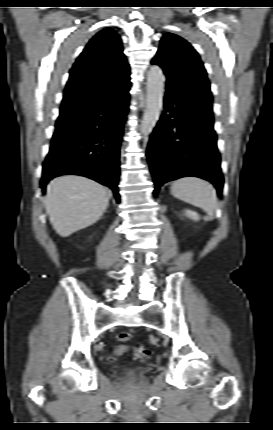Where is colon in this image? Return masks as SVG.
Here are the masks:
<instances>
[{
  "mask_svg": "<svg viewBox=\"0 0 273 430\" xmlns=\"http://www.w3.org/2000/svg\"><path fill=\"white\" fill-rule=\"evenodd\" d=\"M131 338H132V334L129 332H121L117 336L118 341H121V342L129 341V340H131ZM127 350H128V348H124L123 346H118L116 349V353L118 355H121V354L125 353ZM132 351H133V354L135 355V357H137V358H144V357L148 356V354H150V349L147 347H143V346L135 347L132 349Z\"/></svg>",
  "mask_w": 273,
  "mask_h": 430,
  "instance_id": "1",
  "label": "colon"
}]
</instances>
